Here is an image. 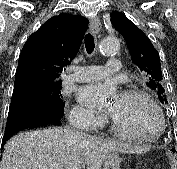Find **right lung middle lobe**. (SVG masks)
I'll use <instances>...</instances> for the list:
<instances>
[{"mask_svg": "<svg viewBox=\"0 0 177 169\" xmlns=\"http://www.w3.org/2000/svg\"><path fill=\"white\" fill-rule=\"evenodd\" d=\"M60 85L61 83L29 82L17 97H12V102L26 100L62 110L65 102L62 100Z\"/></svg>", "mask_w": 177, "mask_h": 169, "instance_id": "obj_1", "label": "right lung middle lobe"}]
</instances>
